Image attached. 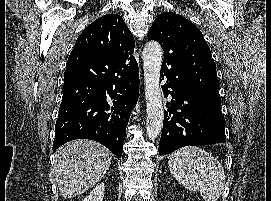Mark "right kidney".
<instances>
[{
  "instance_id": "right-kidney-1",
  "label": "right kidney",
  "mask_w": 271,
  "mask_h": 201,
  "mask_svg": "<svg viewBox=\"0 0 271 201\" xmlns=\"http://www.w3.org/2000/svg\"><path fill=\"white\" fill-rule=\"evenodd\" d=\"M104 183L97 185L83 201H103Z\"/></svg>"
}]
</instances>
